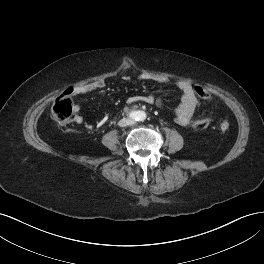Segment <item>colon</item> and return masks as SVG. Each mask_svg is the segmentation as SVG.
Returning <instances> with one entry per match:
<instances>
[{"mask_svg":"<svg viewBox=\"0 0 264 264\" xmlns=\"http://www.w3.org/2000/svg\"><path fill=\"white\" fill-rule=\"evenodd\" d=\"M195 94L202 99H209L210 93L207 89L200 85L193 87ZM52 115L58 123H67L75 118L74 104L69 93H64L60 95L52 109ZM210 119H197L191 121V126L196 130H203L210 126ZM230 128V124L227 121L220 123V129L222 131H227Z\"/></svg>","mask_w":264,"mask_h":264,"instance_id":"5ec220e1","label":"colon"}]
</instances>
